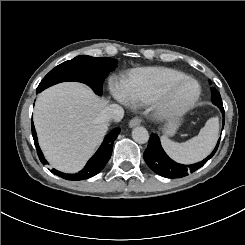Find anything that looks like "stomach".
Masks as SVG:
<instances>
[{"label":"stomach","mask_w":245,"mask_h":245,"mask_svg":"<svg viewBox=\"0 0 245 245\" xmlns=\"http://www.w3.org/2000/svg\"><path fill=\"white\" fill-rule=\"evenodd\" d=\"M181 124V118L179 119H167L162 131L165 135L173 136Z\"/></svg>","instance_id":"stomach-1"}]
</instances>
